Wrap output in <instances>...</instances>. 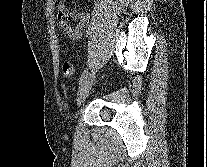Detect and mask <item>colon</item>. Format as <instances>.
<instances>
[{"label":"colon","instance_id":"1","mask_svg":"<svg viewBox=\"0 0 207 167\" xmlns=\"http://www.w3.org/2000/svg\"><path fill=\"white\" fill-rule=\"evenodd\" d=\"M62 73L64 77L71 78L74 74V67L70 61H64L62 64Z\"/></svg>","mask_w":207,"mask_h":167}]
</instances>
